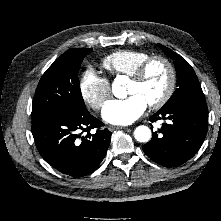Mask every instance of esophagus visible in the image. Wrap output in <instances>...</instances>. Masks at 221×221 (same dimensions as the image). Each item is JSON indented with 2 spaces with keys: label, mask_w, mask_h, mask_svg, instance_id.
Instances as JSON below:
<instances>
[{
  "label": "esophagus",
  "mask_w": 221,
  "mask_h": 221,
  "mask_svg": "<svg viewBox=\"0 0 221 221\" xmlns=\"http://www.w3.org/2000/svg\"><path fill=\"white\" fill-rule=\"evenodd\" d=\"M108 129L110 130V131H114V130H118V129H125V127H123V126H109L108 127Z\"/></svg>",
  "instance_id": "1"
}]
</instances>
